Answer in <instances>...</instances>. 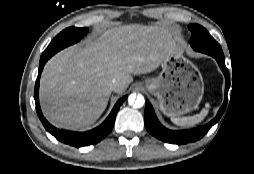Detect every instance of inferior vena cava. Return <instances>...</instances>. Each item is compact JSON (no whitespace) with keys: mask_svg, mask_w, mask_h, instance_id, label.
<instances>
[{"mask_svg":"<svg viewBox=\"0 0 254 174\" xmlns=\"http://www.w3.org/2000/svg\"><path fill=\"white\" fill-rule=\"evenodd\" d=\"M119 86V82L116 79H113L110 83V88L114 91Z\"/></svg>","mask_w":254,"mask_h":174,"instance_id":"602c4592","label":"inferior vena cava"}]
</instances>
